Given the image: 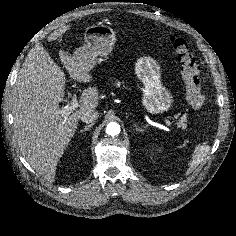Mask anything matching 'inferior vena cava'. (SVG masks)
<instances>
[{"mask_svg": "<svg viewBox=\"0 0 236 236\" xmlns=\"http://www.w3.org/2000/svg\"><path fill=\"white\" fill-rule=\"evenodd\" d=\"M99 117V113L95 109H88L81 113L80 119L85 123H94V121Z\"/></svg>", "mask_w": 236, "mask_h": 236, "instance_id": "1", "label": "inferior vena cava"}]
</instances>
